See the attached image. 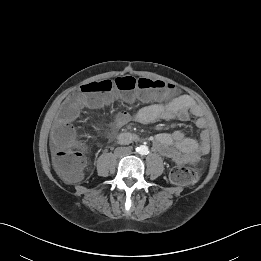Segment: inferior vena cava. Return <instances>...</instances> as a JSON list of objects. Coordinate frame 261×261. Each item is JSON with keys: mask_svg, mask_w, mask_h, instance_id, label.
I'll return each mask as SVG.
<instances>
[{"mask_svg": "<svg viewBox=\"0 0 261 261\" xmlns=\"http://www.w3.org/2000/svg\"><path fill=\"white\" fill-rule=\"evenodd\" d=\"M115 152H116V154L119 155V156H126V155L131 154L132 148H131V147H118V148L115 150Z\"/></svg>", "mask_w": 261, "mask_h": 261, "instance_id": "inferior-vena-cava-1", "label": "inferior vena cava"}]
</instances>
